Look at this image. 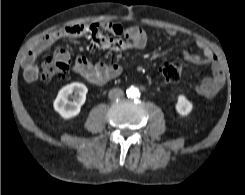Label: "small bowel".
Here are the masks:
<instances>
[{"mask_svg": "<svg viewBox=\"0 0 245 195\" xmlns=\"http://www.w3.org/2000/svg\"><path fill=\"white\" fill-rule=\"evenodd\" d=\"M168 34L174 36L175 30H169ZM85 37L94 45L116 51L142 49L147 42L144 29L140 26L124 28L118 23L102 22L64 26L52 31L38 41L28 50L23 58L22 65L24 77L27 81H35L38 77V69L35 60L40 53L48 49L56 41L63 38ZM196 46L201 54L183 51V58L192 65H210L212 74L204 78L196 85L197 94L203 97H213L223 87L225 74L222 65L214 51L201 39H195ZM55 57L68 61L69 53L65 49L55 52ZM73 71L91 84L101 85L120 75L122 68L118 64L95 63L92 64L86 58L78 56L72 67Z\"/></svg>", "mask_w": 245, "mask_h": 195, "instance_id": "c3829d8e", "label": "small bowel"}]
</instances>
